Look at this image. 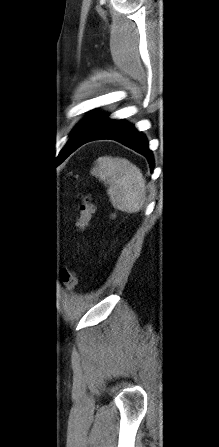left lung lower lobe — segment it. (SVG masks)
I'll list each match as a JSON object with an SVG mask.
<instances>
[{
  "instance_id": "obj_1",
  "label": "left lung lower lobe",
  "mask_w": 219,
  "mask_h": 447,
  "mask_svg": "<svg viewBox=\"0 0 219 447\" xmlns=\"http://www.w3.org/2000/svg\"><path fill=\"white\" fill-rule=\"evenodd\" d=\"M99 139H112L121 142L127 147L144 155L149 162L151 170L153 169L154 167L153 157L151 151L148 148V142L144 137V135L141 132L137 131V129H135L133 125L123 120H115L108 118H106L103 124L93 134L89 135L86 139L82 140L81 142L72 145L71 148H69V150L65 154L59 156L58 161L62 162L67 156H69L82 144Z\"/></svg>"
}]
</instances>
